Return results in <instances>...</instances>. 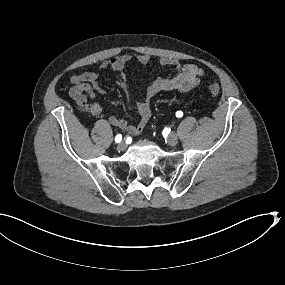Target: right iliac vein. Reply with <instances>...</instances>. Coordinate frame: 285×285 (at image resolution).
Listing matches in <instances>:
<instances>
[{
	"mask_svg": "<svg viewBox=\"0 0 285 285\" xmlns=\"http://www.w3.org/2000/svg\"><path fill=\"white\" fill-rule=\"evenodd\" d=\"M126 147H127V145H126L124 142H120V143L118 144V149H119V150H125Z\"/></svg>",
	"mask_w": 285,
	"mask_h": 285,
	"instance_id": "right-iliac-vein-1",
	"label": "right iliac vein"
}]
</instances>
